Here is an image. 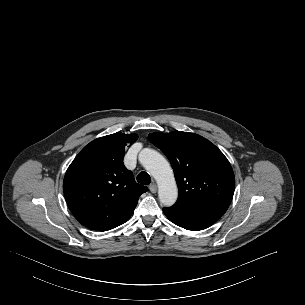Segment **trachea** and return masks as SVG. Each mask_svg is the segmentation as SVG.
Instances as JSON below:
<instances>
[{
	"instance_id": "trachea-1",
	"label": "trachea",
	"mask_w": 305,
	"mask_h": 305,
	"mask_svg": "<svg viewBox=\"0 0 305 305\" xmlns=\"http://www.w3.org/2000/svg\"><path fill=\"white\" fill-rule=\"evenodd\" d=\"M137 181L140 183V184H143V185H149L151 183V178L149 176L148 173L146 172H141L138 176H137Z\"/></svg>"
}]
</instances>
